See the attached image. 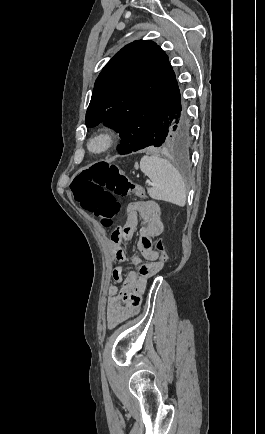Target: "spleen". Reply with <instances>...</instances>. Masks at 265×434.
<instances>
[{
	"label": "spleen",
	"instance_id": "spleen-1",
	"mask_svg": "<svg viewBox=\"0 0 265 434\" xmlns=\"http://www.w3.org/2000/svg\"><path fill=\"white\" fill-rule=\"evenodd\" d=\"M135 170L140 168L141 172L148 176L152 182L148 188V194L153 200H164L176 206H185L186 188L178 170L168 162L155 154L143 156L140 164L136 162Z\"/></svg>",
	"mask_w": 265,
	"mask_h": 434
}]
</instances>
